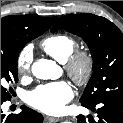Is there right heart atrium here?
Instances as JSON below:
<instances>
[{
  "instance_id": "1",
  "label": "right heart atrium",
  "mask_w": 123,
  "mask_h": 123,
  "mask_svg": "<svg viewBox=\"0 0 123 123\" xmlns=\"http://www.w3.org/2000/svg\"><path fill=\"white\" fill-rule=\"evenodd\" d=\"M32 61V51L28 48L23 49L16 59L17 73L21 76H26L30 72Z\"/></svg>"
}]
</instances>
